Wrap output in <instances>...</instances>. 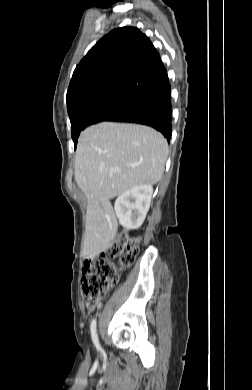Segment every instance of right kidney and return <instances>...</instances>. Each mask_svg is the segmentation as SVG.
Returning <instances> with one entry per match:
<instances>
[{
  "label": "right kidney",
  "mask_w": 252,
  "mask_h": 390,
  "mask_svg": "<svg viewBox=\"0 0 252 390\" xmlns=\"http://www.w3.org/2000/svg\"><path fill=\"white\" fill-rule=\"evenodd\" d=\"M152 194V185L143 184L118 196L114 208L124 229H137L142 225L150 207Z\"/></svg>",
  "instance_id": "ca27d5eb"
}]
</instances>
